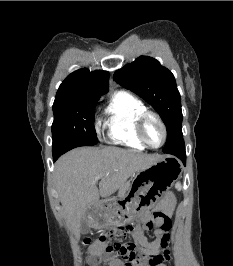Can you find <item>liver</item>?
<instances>
[{"mask_svg": "<svg viewBox=\"0 0 233 266\" xmlns=\"http://www.w3.org/2000/svg\"><path fill=\"white\" fill-rule=\"evenodd\" d=\"M160 159L159 155L118 147H80L61 156L55 165V178L70 229L79 233L83 218L96 228L94 218L87 214L90 205L99 196L109 197L123 187L130 176Z\"/></svg>", "mask_w": 233, "mask_h": 266, "instance_id": "6515ba94", "label": "liver"}]
</instances>
